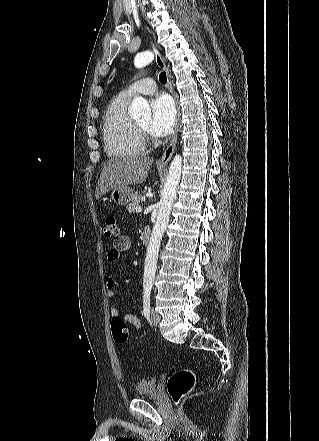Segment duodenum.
I'll return each instance as SVG.
<instances>
[{"label": "duodenum", "instance_id": "duodenum-1", "mask_svg": "<svg viewBox=\"0 0 319 441\" xmlns=\"http://www.w3.org/2000/svg\"><path fill=\"white\" fill-rule=\"evenodd\" d=\"M151 230L149 227H145L141 234V240L144 244H148L150 240Z\"/></svg>", "mask_w": 319, "mask_h": 441}]
</instances>
